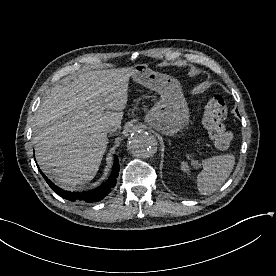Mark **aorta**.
Instances as JSON below:
<instances>
[{
    "label": "aorta",
    "instance_id": "762f6f07",
    "mask_svg": "<svg viewBox=\"0 0 276 276\" xmlns=\"http://www.w3.org/2000/svg\"><path fill=\"white\" fill-rule=\"evenodd\" d=\"M127 148L134 157L147 159L155 154L157 139L146 131H135L128 139Z\"/></svg>",
    "mask_w": 276,
    "mask_h": 276
}]
</instances>
